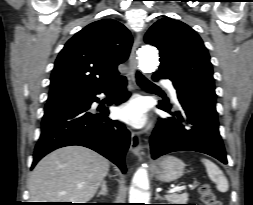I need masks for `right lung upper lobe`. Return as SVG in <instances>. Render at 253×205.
I'll return each instance as SVG.
<instances>
[{
    "label": "right lung upper lobe",
    "mask_w": 253,
    "mask_h": 205,
    "mask_svg": "<svg viewBox=\"0 0 253 205\" xmlns=\"http://www.w3.org/2000/svg\"><path fill=\"white\" fill-rule=\"evenodd\" d=\"M133 40L111 19L95 21L73 36L59 53L48 102L79 98L119 80L117 66L127 60Z\"/></svg>",
    "instance_id": "1"
}]
</instances>
